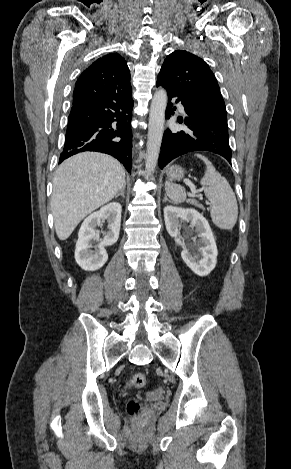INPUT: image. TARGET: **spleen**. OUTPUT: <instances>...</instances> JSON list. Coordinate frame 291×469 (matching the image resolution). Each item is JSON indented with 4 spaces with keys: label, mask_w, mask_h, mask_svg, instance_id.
Returning a JSON list of instances; mask_svg holds the SVG:
<instances>
[{
    "label": "spleen",
    "mask_w": 291,
    "mask_h": 469,
    "mask_svg": "<svg viewBox=\"0 0 291 469\" xmlns=\"http://www.w3.org/2000/svg\"><path fill=\"white\" fill-rule=\"evenodd\" d=\"M196 156L206 165L205 175L200 183L206 197L211 203V219L218 228L231 230L238 218V204L235 194L226 178L216 171L212 163L205 156L200 154ZM165 190L175 203L184 202L186 199V191L180 185L166 181Z\"/></svg>",
    "instance_id": "1"
}]
</instances>
